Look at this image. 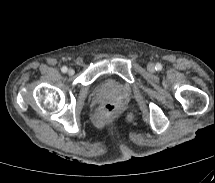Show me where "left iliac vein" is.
<instances>
[{"instance_id":"4c4485c4","label":"left iliac vein","mask_w":215,"mask_h":183,"mask_svg":"<svg viewBox=\"0 0 215 183\" xmlns=\"http://www.w3.org/2000/svg\"><path fill=\"white\" fill-rule=\"evenodd\" d=\"M147 68L151 72L154 71V69H155L154 64H152V63H150Z\"/></svg>"}]
</instances>
